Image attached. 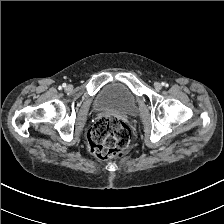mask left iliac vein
<instances>
[{"label": "left iliac vein", "mask_w": 224, "mask_h": 224, "mask_svg": "<svg viewBox=\"0 0 224 224\" xmlns=\"http://www.w3.org/2000/svg\"><path fill=\"white\" fill-rule=\"evenodd\" d=\"M154 88H155L156 90H161L162 86H161V84H160L159 82H155V83H154Z\"/></svg>", "instance_id": "1"}]
</instances>
